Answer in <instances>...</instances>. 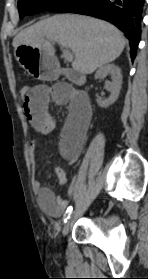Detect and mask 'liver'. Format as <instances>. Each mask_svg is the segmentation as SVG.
<instances>
[{
    "label": "liver",
    "instance_id": "obj_1",
    "mask_svg": "<svg viewBox=\"0 0 148 279\" xmlns=\"http://www.w3.org/2000/svg\"><path fill=\"white\" fill-rule=\"evenodd\" d=\"M51 41L72 50V68L82 74H91L114 61L126 44L123 34L110 23L83 15L59 14L22 30L14 37L13 46L38 48L55 57Z\"/></svg>",
    "mask_w": 148,
    "mask_h": 279
}]
</instances>
